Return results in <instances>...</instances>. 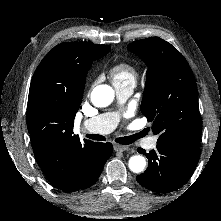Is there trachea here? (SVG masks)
Instances as JSON below:
<instances>
[{
    "mask_svg": "<svg viewBox=\"0 0 221 221\" xmlns=\"http://www.w3.org/2000/svg\"><path fill=\"white\" fill-rule=\"evenodd\" d=\"M143 136H144V133L140 132V133L132 135V136L116 138L115 141L119 144L128 145V144L133 143L136 139L143 137ZM86 137L89 139H92V140H97V141H104L105 140L104 136L98 135V134H87Z\"/></svg>",
    "mask_w": 221,
    "mask_h": 221,
    "instance_id": "1",
    "label": "trachea"
}]
</instances>
